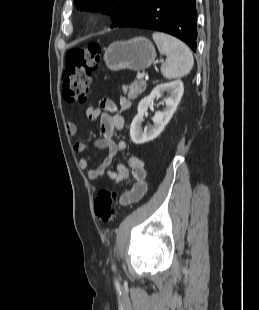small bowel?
<instances>
[{
	"label": "small bowel",
	"instance_id": "c3829d8e",
	"mask_svg": "<svg viewBox=\"0 0 259 310\" xmlns=\"http://www.w3.org/2000/svg\"><path fill=\"white\" fill-rule=\"evenodd\" d=\"M130 101L121 97L119 100V108L117 104L108 98L102 99L97 106H89L86 109V116L90 120L100 121V130L102 138L93 142V146L98 149H107L108 156L101 164L89 168L91 156H85L79 161V168L87 170V179L89 181H97L104 175H108L110 179L117 183H126L131 181L132 188L123 193L120 197V204L127 206L140 201L147 193V173L144 163L138 156H130L128 166L119 164L114 170L110 169L113 157L126 147L124 141L118 143L113 141V136L117 130H122L125 121L118 111H126L130 108ZM66 133L69 137H74L78 133V126L75 122L69 121L66 124ZM87 145L84 142H76L73 149L76 153L85 151Z\"/></svg>",
	"mask_w": 259,
	"mask_h": 310
}]
</instances>
